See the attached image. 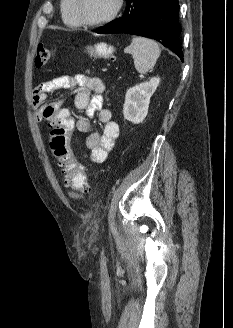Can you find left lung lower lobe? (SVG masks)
Wrapping results in <instances>:
<instances>
[{"mask_svg": "<svg viewBox=\"0 0 233 328\" xmlns=\"http://www.w3.org/2000/svg\"><path fill=\"white\" fill-rule=\"evenodd\" d=\"M126 3L122 17L98 28L96 33L149 37L172 50L183 61L178 0H126Z\"/></svg>", "mask_w": 233, "mask_h": 328, "instance_id": "left-lung-lower-lobe-1", "label": "left lung lower lobe"}]
</instances>
